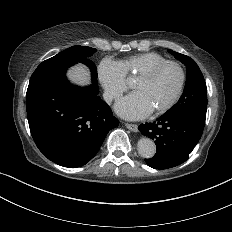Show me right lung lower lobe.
Returning <instances> with one entry per match:
<instances>
[{"mask_svg":"<svg viewBox=\"0 0 232 232\" xmlns=\"http://www.w3.org/2000/svg\"><path fill=\"white\" fill-rule=\"evenodd\" d=\"M86 58L53 57L31 76L26 106L31 135L39 150L54 163L80 167L100 149L107 133L119 125L110 107L98 96L97 76L92 85L78 87L66 79L67 69Z\"/></svg>","mask_w":232,"mask_h":232,"instance_id":"obj_1","label":"right lung lower lobe"}]
</instances>
